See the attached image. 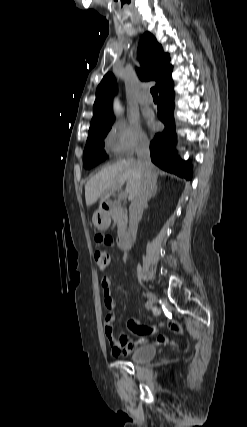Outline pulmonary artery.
<instances>
[{
  "label": "pulmonary artery",
  "instance_id": "pulmonary-artery-1",
  "mask_svg": "<svg viewBox=\"0 0 247 427\" xmlns=\"http://www.w3.org/2000/svg\"><path fill=\"white\" fill-rule=\"evenodd\" d=\"M141 105L148 106L152 104V98L149 95H142L139 99Z\"/></svg>",
  "mask_w": 247,
  "mask_h": 427
}]
</instances>
